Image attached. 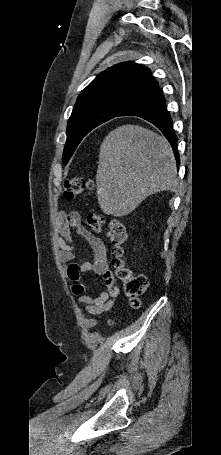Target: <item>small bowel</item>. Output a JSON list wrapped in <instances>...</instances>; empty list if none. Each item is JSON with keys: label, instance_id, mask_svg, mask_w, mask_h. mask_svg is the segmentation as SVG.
Wrapping results in <instances>:
<instances>
[{"label": "small bowel", "instance_id": "small-bowel-1", "mask_svg": "<svg viewBox=\"0 0 221 455\" xmlns=\"http://www.w3.org/2000/svg\"><path fill=\"white\" fill-rule=\"evenodd\" d=\"M58 230L57 241L60 247L59 259L70 262L67 268L68 276L74 281L71 287L73 294L78 296V302L84 306L88 313H99L112 307L119 295V287L109 271L108 246L97 236L87 230L81 223L78 213H59L56 219ZM75 230L91 245L94 253L92 262L75 263L72 251L71 231ZM91 272L104 280L106 290L101 291L97 297L85 294V285L80 280V274Z\"/></svg>", "mask_w": 221, "mask_h": 455}]
</instances>
